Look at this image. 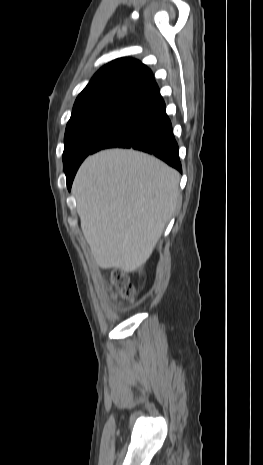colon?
I'll list each match as a JSON object with an SVG mask.
<instances>
[{
  "label": "colon",
  "instance_id": "1",
  "mask_svg": "<svg viewBox=\"0 0 263 465\" xmlns=\"http://www.w3.org/2000/svg\"><path fill=\"white\" fill-rule=\"evenodd\" d=\"M110 282L116 288L120 297L129 299L133 296L134 286L124 272L119 270L112 272Z\"/></svg>",
  "mask_w": 263,
  "mask_h": 465
}]
</instances>
